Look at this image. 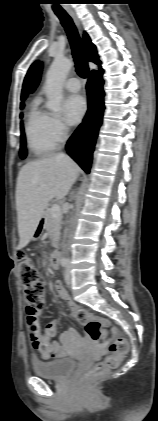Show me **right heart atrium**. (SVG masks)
<instances>
[{
    "mask_svg": "<svg viewBox=\"0 0 158 421\" xmlns=\"http://www.w3.org/2000/svg\"><path fill=\"white\" fill-rule=\"evenodd\" d=\"M51 130L57 141H61L68 132L66 124L57 116H51Z\"/></svg>",
    "mask_w": 158,
    "mask_h": 421,
    "instance_id": "obj_1",
    "label": "right heart atrium"
}]
</instances>
